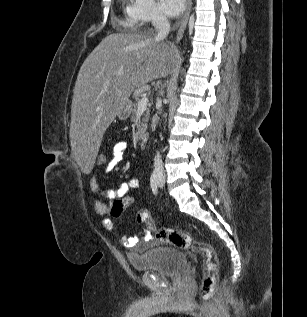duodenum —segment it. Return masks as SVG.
Segmentation results:
<instances>
[{
  "label": "duodenum",
  "instance_id": "410a0bca",
  "mask_svg": "<svg viewBox=\"0 0 307 317\" xmlns=\"http://www.w3.org/2000/svg\"><path fill=\"white\" fill-rule=\"evenodd\" d=\"M139 141L142 146H145L148 142V137L146 135H142L139 137Z\"/></svg>",
  "mask_w": 307,
  "mask_h": 317
}]
</instances>
